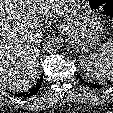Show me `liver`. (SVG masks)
<instances>
[{
    "label": "liver",
    "instance_id": "6515ba94",
    "mask_svg": "<svg viewBox=\"0 0 113 113\" xmlns=\"http://www.w3.org/2000/svg\"><path fill=\"white\" fill-rule=\"evenodd\" d=\"M68 0H0V86L27 91L39 67L40 31L46 18L68 13Z\"/></svg>",
    "mask_w": 113,
    "mask_h": 113
}]
</instances>
